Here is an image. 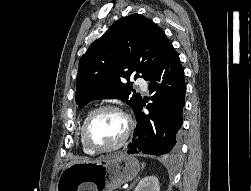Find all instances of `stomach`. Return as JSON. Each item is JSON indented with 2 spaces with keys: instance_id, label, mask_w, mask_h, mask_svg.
I'll return each mask as SVG.
<instances>
[{
  "instance_id": "stomach-1",
  "label": "stomach",
  "mask_w": 251,
  "mask_h": 191,
  "mask_svg": "<svg viewBox=\"0 0 251 191\" xmlns=\"http://www.w3.org/2000/svg\"><path fill=\"white\" fill-rule=\"evenodd\" d=\"M140 163L134 155H107L92 163H70L61 173L57 191H112L136 177Z\"/></svg>"
}]
</instances>
